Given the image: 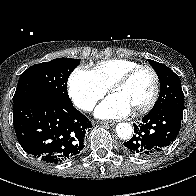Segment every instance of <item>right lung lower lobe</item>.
I'll list each match as a JSON object with an SVG mask.
<instances>
[{"label":"right lung lower lobe","mask_w":196,"mask_h":196,"mask_svg":"<svg viewBox=\"0 0 196 196\" xmlns=\"http://www.w3.org/2000/svg\"><path fill=\"white\" fill-rule=\"evenodd\" d=\"M13 122L21 147L36 159L52 164L75 158L92 126L73 104L52 95L15 102Z\"/></svg>","instance_id":"right-lung-lower-lobe-1"}]
</instances>
